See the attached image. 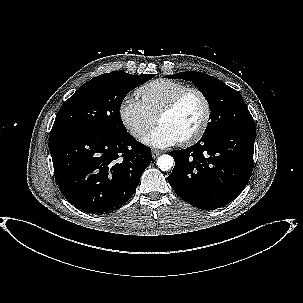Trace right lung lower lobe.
<instances>
[{
	"instance_id": "1",
	"label": "right lung lower lobe",
	"mask_w": 303,
	"mask_h": 303,
	"mask_svg": "<svg viewBox=\"0 0 303 303\" xmlns=\"http://www.w3.org/2000/svg\"><path fill=\"white\" fill-rule=\"evenodd\" d=\"M54 174L64 197L77 208L109 213L134 194L151 162V150L129 133L50 134Z\"/></svg>"
}]
</instances>
